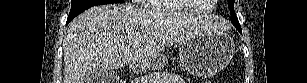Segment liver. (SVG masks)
<instances>
[{"instance_id": "liver-1", "label": "liver", "mask_w": 307, "mask_h": 83, "mask_svg": "<svg viewBox=\"0 0 307 83\" xmlns=\"http://www.w3.org/2000/svg\"><path fill=\"white\" fill-rule=\"evenodd\" d=\"M211 16L161 13L111 4L96 6L69 24L64 43V83H83L95 68L109 71L140 65L167 47L217 32Z\"/></svg>"}]
</instances>
